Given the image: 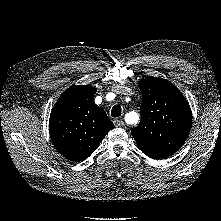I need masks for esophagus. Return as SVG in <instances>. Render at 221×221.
Returning a JSON list of instances; mask_svg holds the SVG:
<instances>
[{
	"instance_id": "1",
	"label": "esophagus",
	"mask_w": 221,
	"mask_h": 221,
	"mask_svg": "<svg viewBox=\"0 0 221 221\" xmlns=\"http://www.w3.org/2000/svg\"><path fill=\"white\" fill-rule=\"evenodd\" d=\"M113 122H114V125H115L116 127H122V126H124V121L121 120V119H115Z\"/></svg>"
}]
</instances>
